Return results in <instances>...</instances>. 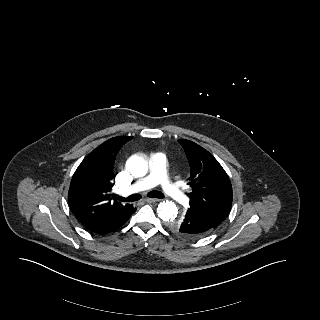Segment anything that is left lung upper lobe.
<instances>
[{
  "instance_id": "5c2ea615",
  "label": "left lung upper lobe",
  "mask_w": 320,
  "mask_h": 320,
  "mask_svg": "<svg viewBox=\"0 0 320 320\" xmlns=\"http://www.w3.org/2000/svg\"><path fill=\"white\" fill-rule=\"evenodd\" d=\"M190 164L189 211L199 214L215 227L227 217L232 205V186L228 175L219 162L198 144L180 139ZM179 236L189 238L179 232L180 221L172 224ZM191 239V238H189Z\"/></svg>"
}]
</instances>
